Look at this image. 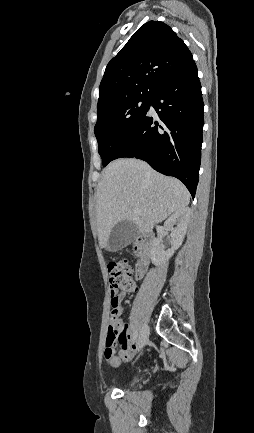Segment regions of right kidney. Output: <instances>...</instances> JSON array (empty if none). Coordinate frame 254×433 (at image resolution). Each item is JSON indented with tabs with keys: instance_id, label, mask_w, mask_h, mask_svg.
Returning <instances> with one entry per match:
<instances>
[{
	"instance_id": "ca27d5eb",
	"label": "right kidney",
	"mask_w": 254,
	"mask_h": 433,
	"mask_svg": "<svg viewBox=\"0 0 254 433\" xmlns=\"http://www.w3.org/2000/svg\"><path fill=\"white\" fill-rule=\"evenodd\" d=\"M190 220V210L189 208H183L174 212L164 223V229L170 231L172 234L171 238V248L165 250L161 244V236H158L151 248V260L156 266L169 260V258L174 254L184 239L186 234L187 226ZM176 225V227H174Z\"/></svg>"
}]
</instances>
